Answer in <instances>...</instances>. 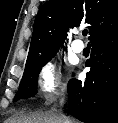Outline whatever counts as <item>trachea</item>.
Wrapping results in <instances>:
<instances>
[{"label": "trachea", "instance_id": "obj_1", "mask_svg": "<svg viewBox=\"0 0 118 123\" xmlns=\"http://www.w3.org/2000/svg\"><path fill=\"white\" fill-rule=\"evenodd\" d=\"M82 34H83V36H86V35H87V30H84V31L82 32Z\"/></svg>", "mask_w": 118, "mask_h": 123}]
</instances>
